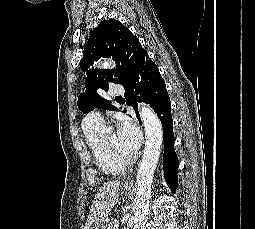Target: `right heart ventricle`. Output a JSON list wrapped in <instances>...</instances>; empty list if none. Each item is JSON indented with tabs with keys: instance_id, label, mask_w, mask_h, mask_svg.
Masks as SVG:
<instances>
[{
	"instance_id": "1",
	"label": "right heart ventricle",
	"mask_w": 255,
	"mask_h": 229,
	"mask_svg": "<svg viewBox=\"0 0 255 229\" xmlns=\"http://www.w3.org/2000/svg\"><path fill=\"white\" fill-rule=\"evenodd\" d=\"M102 127H87L82 124L83 133L95 165L109 176H118L125 170V166L114 161L103 147L100 132Z\"/></svg>"
}]
</instances>
